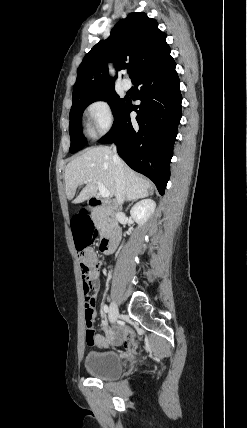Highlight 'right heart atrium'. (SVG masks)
Segmentation results:
<instances>
[{
  "label": "right heart atrium",
  "mask_w": 247,
  "mask_h": 428,
  "mask_svg": "<svg viewBox=\"0 0 247 428\" xmlns=\"http://www.w3.org/2000/svg\"><path fill=\"white\" fill-rule=\"evenodd\" d=\"M86 117L89 123V133L98 136L106 133L113 124V112L109 102L98 99L91 102L86 109Z\"/></svg>",
  "instance_id": "right-heart-atrium-1"
}]
</instances>
